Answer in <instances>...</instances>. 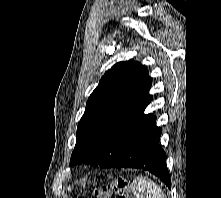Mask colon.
<instances>
[{
    "label": "colon",
    "instance_id": "1",
    "mask_svg": "<svg viewBox=\"0 0 221 198\" xmlns=\"http://www.w3.org/2000/svg\"><path fill=\"white\" fill-rule=\"evenodd\" d=\"M95 198H133L129 181L118 177L94 191Z\"/></svg>",
    "mask_w": 221,
    "mask_h": 198
}]
</instances>
